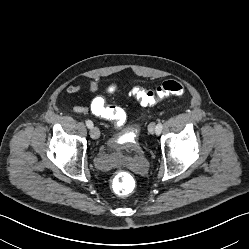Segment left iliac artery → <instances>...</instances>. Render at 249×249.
I'll return each instance as SVG.
<instances>
[{"label":"left iliac artery","mask_w":249,"mask_h":249,"mask_svg":"<svg viewBox=\"0 0 249 249\" xmlns=\"http://www.w3.org/2000/svg\"><path fill=\"white\" fill-rule=\"evenodd\" d=\"M162 128H163L162 123H158V124L156 125L155 131H156V134H157V135H159V134L161 133Z\"/></svg>","instance_id":"obj_1"}]
</instances>
